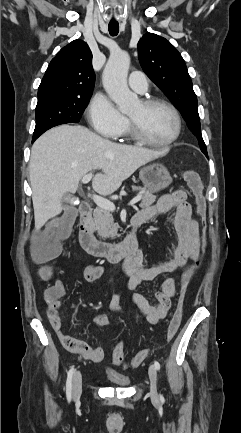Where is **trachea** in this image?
<instances>
[{"mask_svg":"<svg viewBox=\"0 0 241 433\" xmlns=\"http://www.w3.org/2000/svg\"><path fill=\"white\" fill-rule=\"evenodd\" d=\"M111 8H114V5H111ZM108 30L111 36H116L119 32V24L116 22V19H111V22L108 25Z\"/></svg>","mask_w":241,"mask_h":433,"instance_id":"obj_1","label":"trachea"}]
</instances>
